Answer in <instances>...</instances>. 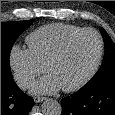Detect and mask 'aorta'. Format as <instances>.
<instances>
[{
    "instance_id": "aorta-1",
    "label": "aorta",
    "mask_w": 115,
    "mask_h": 115,
    "mask_svg": "<svg viewBox=\"0 0 115 115\" xmlns=\"http://www.w3.org/2000/svg\"><path fill=\"white\" fill-rule=\"evenodd\" d=\"M42 112L44 115H61L62 107L58 101L47 99L42 104Z\"/></svg>"
}]
</instances>
